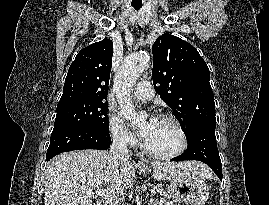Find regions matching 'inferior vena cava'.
Segmentation results:
<instances>
[{"mask_svg":"<svg viewBox=\"0 0 269 205\" xmlns=\"http://www.w3.org/2000/svg\"><path fill=\"white\" fill-rule=\"evenodd\" d=\"M128 136L124 133H116L113 135V143L110 148V154L118 160L129 159V150L127 148ZM114 201L111 205H117Z\"/></svg>","mask_w":269,"mask_h":205,"instance_id":"inferior-vena-cava-1","label":"inferior vena cava"}]
</instances>
